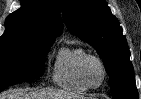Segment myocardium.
I'll return each mask as SVG.
<instances>
[{"label": "myocardium", "instance_id": "obj_1", "mask_svg": "<svg viewBox=\"0 0 141 99\" xmlns=\"http://www.w3.org/2000/svg\"><path fill=\"white\" fill-rule=\"evenodd\" d=\"M90 61L97 62L99 64L101 70H102V80L97 85L91 84L90 81L87 78V75H86V67H87V64ZM79 72H80V77H81L83 83L87 87H89V89H97V88L101 87L105 83V81L107 79V68H106V65H105L103 59L100 56L96 55V54H86L84 56V58L82 59L81 64H80Z\"/></svg>", "mask_w": 141, "mask_h": 99}]
</instances>
